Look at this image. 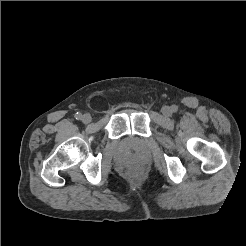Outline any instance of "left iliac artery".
<instances>
[{
	"label": "left iliac artery",
	"instance_id": "obj_1",
	"mask_svg": "<svg viewBox=\"0 0 246 246\" xmlns=\"http://www.w3.org/2000/svg\"><path fill=\"white\" fill-rule=\"evenodd\" d=\"M177 110H178V107H177L176 105H173V106H172V111H173V112H177Z\"/></svg>",
	"mask_w": 246,
	"mask_h": 246
}]
</instances>
